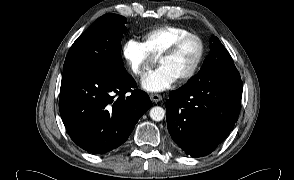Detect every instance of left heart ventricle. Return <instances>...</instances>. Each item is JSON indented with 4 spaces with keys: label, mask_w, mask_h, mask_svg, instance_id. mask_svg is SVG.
<instances>
[{
    "label": "left heart ventricle",
    "mask_w": 294,
    "mask_h": 180,
    "mask_svg": "<svg viewBox=\"0 0 294 180\" xmlns=\"http://www.w3.org/2000/svg\"><path fill=\"white\" fill-rule=\"evenodd\" d=\"M199 51L196 40L185 42L175 54L161 59L158 63L165 67L177 80L183 77L194 65Z\"/></svg>",
    "instance_id": "obj_1"
}]
</instances>
